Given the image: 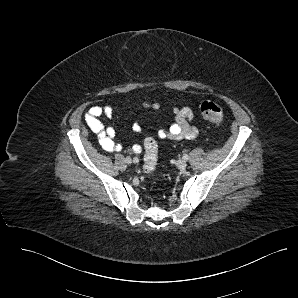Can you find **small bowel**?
<instances>
[{"instance_id":"small-bowel-1","label":"small bowel","mask_w":298,"mask_h":298,"mask_svg":"<svg viewBox=\"0 0 298 298\" xmlns=\"http://www.w3.org/2000/svg\"><path fill=\"white\" fill-rule=\"evenodd\" d=\"M144 108H159L158 103L143 102ZM114 114L113 108L110 106L94 105L85 114V123L88 128L94 132L98 138L101 147L106 152H119L123 146L121 143L115 141V129L112 127H105L100 120L101 116L108 118ZM174 122L168 128H159L157 130V136L159 139H171V140H193L198 136V129L192 124L194 114L190 108L173 107ZM132 130L136 133L141 132V126L138 122H134ZM131 151L134 153L141 152V146L135 144L131 147Z\"/></svg>"}]
</instances>
